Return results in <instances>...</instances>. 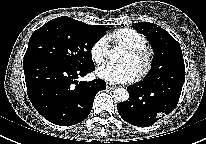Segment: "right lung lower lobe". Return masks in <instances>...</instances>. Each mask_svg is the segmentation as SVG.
<instances>
[{
	"mask_svg": "<svg viewBox=\"0 0 206 144\" xmlns=\"http://www.w3.org/2000/svg\"><path fill=\"white\" fill-rule=\"evenodd\" d=\"M27 94L35 109L49 122L70 126L89 115L95 95L106 82L95 79L78 82L95 69L94 64L71 68L48 60L23 61Z\"/></svg>",
	"mask_w": 206,
	"mask_h": 144,
	"instance_id": "obj_1",
	"label": "right lung lower lobe"
}]
</instances>
